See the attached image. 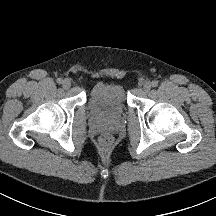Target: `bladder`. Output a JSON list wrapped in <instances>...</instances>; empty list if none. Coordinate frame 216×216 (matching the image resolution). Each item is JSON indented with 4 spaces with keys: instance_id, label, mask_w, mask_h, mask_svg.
Returning <instances> with one entry per match:
<instances>
[{
    "instance_id": "1",
    "label": "bladder",
    "mask_w": 216,
    "mask_h": 216,
    "mask_svg": "<svg viewBox=\"0 0 216 216\" xmlns=\"http://www.w3.org/2000/svg\"><path fill=\"white\" fill-rule=\"evenodd\" d=\"M127 100L123 87L118 83L101 82L90 91L87 108L100 120L114 122L127 111Z\"/></svg>"
}]
</instances>
